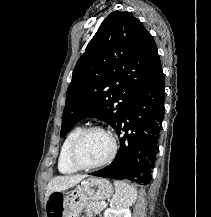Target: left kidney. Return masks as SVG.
Wrapping results in <instances>:
<instances>
[{
  "label": "left kidney",
  "instance_id": "obj_1",
  "mask_svg": "<svg viewBox=\"0 0 211 217\" xmlns=\"http://www.w3.org/2000/svg\"><path fill=\"white\" fill-rule=\"evenodd\" d=\"M103 217H131V211L129 208L114 209L109 208L105 210Z\"/></svg>",
  "mask_w": 211,
  "mask_h": 217
}]
</instances>
